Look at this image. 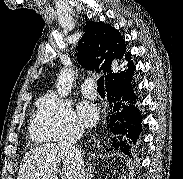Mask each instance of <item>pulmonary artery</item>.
<instances>
[{"mask_svg":"<svg viewBox=\"0 0 183 179\" xmlns=\"http://www.w3.org/2000/svg\"><path fill=\"white\" fill-rule=\"evenodd\" d=\"M94 81L91 78L86 79L82 84H81V91L82 94L85 97L88 98H95L97 93L96 90L94 89Z\"/></svg>","mask_w":183,"mask_h":179,"instance_id":"1","label":"pulmonary artery"}]
</instances>
